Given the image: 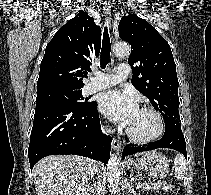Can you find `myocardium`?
Segmentation results:
<instances>
[{
  "label": "myocardium",
  "instance_id": "obj_1",
  "mask_svg": "<svg viewBox=\"0 0 211 195\" xmlns=\"http://www.w3.org/2000/svg\"><path fill=\"white\" fill-rule=\"evenodd\" d=\"M140 110L148 111V112L152 113L157 118L158 129H157V131L154 134H152V135H150L148 137H139V136L134 135L127 128L126 129L127 137L131 141H133L135 143H139V144H147V143L156 141L157 139H159L163 135V133L165 131V121H164V118H163L162 114L157 109H155L154 107H151V106H143V107L140 108Z\"/></svg>",
  "mask_w": 211,
  "mask_h": 195
}]
</instances>
